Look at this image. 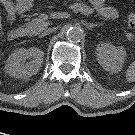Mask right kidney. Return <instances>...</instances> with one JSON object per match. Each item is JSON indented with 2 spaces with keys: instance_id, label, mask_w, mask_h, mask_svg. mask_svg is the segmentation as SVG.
Instances as JSON below:
<instances>
[{
  "instance_id": "ca27d5eb",
  "label": "right kidney",
  "mask_w": 135,
  "mask_h": 135,
  "mask_svg": "<svg viewBox=\"0 0 135 135\" xmlns=\"http://www.w3.org/2000/svg\"><path fill=\"white\" fill-rule=\"evenodd\" d=\"M27 59H31V61L25 62ZM43 59L44 53L38 48H20L9 56L5 69L12 77L21 79L28 78L38 72Z\"/></svg>"
}]
</instances>
